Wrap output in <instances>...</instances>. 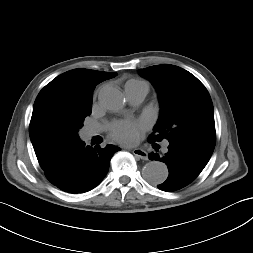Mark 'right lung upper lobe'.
I'll return each mask as SVG.
<instances>
[{"label": "right lung upper lobe", "instance_id": "1", "mask_svg": "<svg viewBox=\"0 0 253 253\" xmlns=\"http://www.w3.org/2000/svg\"><path fill=\"white\" fill-rule=\"evenodd\" d=\"M116 75L117 73L74 69L57 76L40 91L33 106L29 135L45 174H50L63 154L78 142L54 133L46 123L47 112L59 105L92 101L96 85Z\"/></svg>", "mask_w": 253, "mask_h": 253}]
</instances>
